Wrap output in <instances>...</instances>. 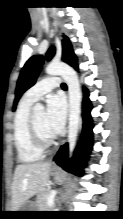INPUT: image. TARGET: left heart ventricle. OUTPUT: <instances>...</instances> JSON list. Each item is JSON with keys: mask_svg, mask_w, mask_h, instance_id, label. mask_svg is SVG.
Listing matches in <instances>:
<instances>
[{"mask_svg": "<svg viewBox=\"0 0 123 219\" xmlns=\"http://www.w3.org/2000/svg\"><path fill=\"white\" fill-rule=\"evenodd\" d=\"M34 118H35L36 125L43 137L51 138L54 136L47 126L46 114L44 111L36 112L34 114Z\"/></svg>", "mask_w": 123, "mask_h": 219, "instance_id": "obj_1", "label": "left heart ventricle"}]
</instances>
